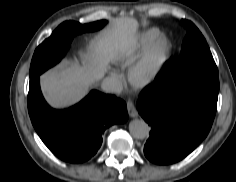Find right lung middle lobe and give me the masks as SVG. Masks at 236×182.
<instances>
[{"mask_svg":"<svg viewBox=\"0 0 236 182\" xmlns=\"http://www.w3.org/2000/svg\"><path fill=\"white\" fill-rule=\"evenodd\" d=\"M105 24L106 21H97L84 25L74 21L63 22L35 50L30 66V77L40 75L57 64L64 57L75 34L96 31Z\"/></svg>","mask_w":236,"mask_h":182,"instance_id":"right-lung-middle-lobe-1","label":"right lung middle lobe"}]
</instances>
